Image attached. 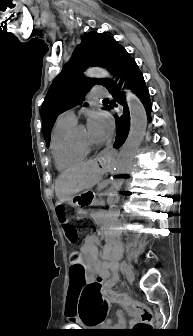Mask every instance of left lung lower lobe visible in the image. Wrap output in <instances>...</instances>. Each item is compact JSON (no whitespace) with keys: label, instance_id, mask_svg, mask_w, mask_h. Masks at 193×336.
Returning a JSON list of instances; mask_svg holds the SVG:
<instances>
[{"label":"left lung lower lobe","instance_id":"1","mask_svg":"<svg viewBox=\"0 0 193 336\" xmlns=\"http://www.w3.org/2000/svg\"><path fill=\"white\" fill-rule=\"evenodd\" d=\"M115 75L120 78L121 82H125L126 87H129L133 92L140 98L144 105L148 119L150 120V113L152 110V105L150 102L149 91L145 85V81L142 73L140 72L136 62L133 58L123 49L117 60ZM108 91L114 97V101L118 102L124 107L123 114L121 116H115L116 120V140L114 143L115 148H119L125 142L130 126V114L127 103L125 102L124 93L121 91L120 84L116 82H111L107 87ZM109 109L112 106H108ZM121 177H125L122 175Z\"/></svg>","mask_w":193,"mask_h":336}]
</instances>
